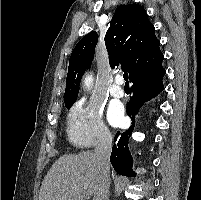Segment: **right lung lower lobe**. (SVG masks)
I'll use <instances>...</instances> for the list:
<instances>
[{
	"label": "right lung lower lobe",
	"mask_w": 201,
	"mask_h": 200,
	"mask_svg": "<svg viewBox=\"0 0 201 200\" xmlns=\"http://www.w3.org/2000/svg\"><path fill=\"white\" fill-rule=\"evenodd\" d=\"M165 75V69L162 64L154 70L136 77L132 83V97L128 102L127 114L132 120L131 127L124 133L117 132L114 138L116 142L113 145L110 162L115 171L124 176H135L132 171L133 159L128 148V140L134 130L135 115L142 105L148 100L158 95L163 89L162 78Z\"/></svg>",
	"instance_id": "obj_1"
}]
</instances>
